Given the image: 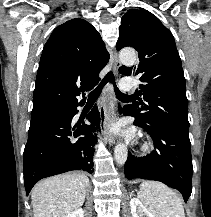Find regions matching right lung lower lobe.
Segmentation results:
<instances>
[{
	"label": "right lung lower lobe",
	"mask_w": 211,
	"mask_h": 217,
	"mask_svg": "<svg viewBox=\"0 0 211 217\" xmlns=\"http://www.w3.org/2000/svg\"><path fill=\"white\" fill-rule=\"evenodd\" d=\"M85 100L62 113L31 119L28 141L24 149V184L28 195L42 178L71 170L93 173L95 126H100V113L92 110L87 120L90 125L71 124L77 107ZM79 135L84 137L77 138ZM77 139H74V138Z\"/></svg>",
	"instance_id": "right-lung-lower-lobe-1"
}]
</instances>
